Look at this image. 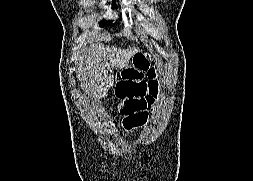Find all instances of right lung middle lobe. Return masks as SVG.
I'll return each mask as SVG.
<instances>
[{
    "label": "right lung middle lobe",
    "mask_w": 253,
    "mask_h": 181,
    "mask_svg": "<svg viewBox=\"0 0 253 181\" xmlns=\"http://www.w3.org/2000/svg\"><path fill=\"white\" fill-rule=\"evenodd\" d=\"M112 24V22L111 21H102V22H100V26L101 27H107V26H109V25H111Z\"/></svg>",
    "instance_id": "1"
}]
</instances>
